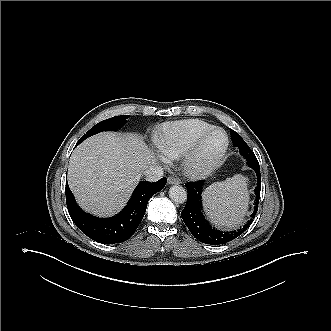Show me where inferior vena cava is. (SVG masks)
Returning a JSON list of instances; mask_svg holds the SVG:
<instances>
[{"label": "inferior vena cava", "mask_w": 331, "mask_h": 331, "mask_svg": "<svg viewBox=\"0 0 331 331\" xmlns=\"http://www.w3.org/2000/svg\"><path fill=\"white\" fill-rule=\"evenodd\" d=\"M146 181L155 182L163 177V168L160 165H150L143 171Z\"/></svg>", "instance_id": "obj_1"}]
</instances>
